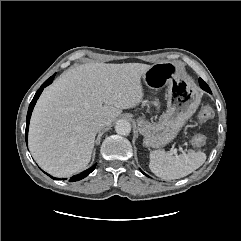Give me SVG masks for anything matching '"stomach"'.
Listing matches in <instances>:
<instances>
[{"mask_svg": "<svg viewBox=\"0 0 241 241\" xmlns=\"http://www.w3.org/2000/svg\"><path fill=\"white\" fill-rule=\"evenodd\" d=\"M145 84L152 89L167 87V111L160 120L150 123L143 118L137 119V128L143 135V145L161 148L170 143L186 121L195 113L201 95L194 84L187 79L181 67L174 62L153 64L144 74Z\"/></svg>", "mask_w": 241, "mask_h": 241, "instance_id": "obj_1", "label": "stomach"}]
</instances>
